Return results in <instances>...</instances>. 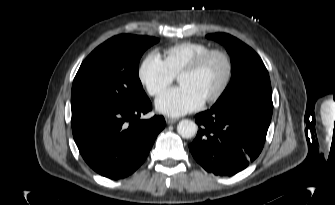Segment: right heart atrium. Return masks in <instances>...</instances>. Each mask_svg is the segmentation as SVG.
<instances>
[{"mask_svg":"<svg viewBox=\"0 0 335 205\" xmlns=\"http://www.w3.org/2000/svg\"><path fill=\"white\" fill-rule=\"evenodd\" d=\"M174 77L163 60L154 52L143 59L138 69V79L151 96H157L163 92L172 83Z\"/></svg>","mask_w":335,"mask_h":205,"instance_id":"right-heart-atrium-1","label":"right heart atrium"}]
</instances>
